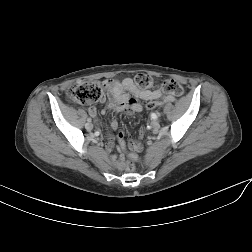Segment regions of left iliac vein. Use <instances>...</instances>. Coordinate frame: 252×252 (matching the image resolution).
<instances>
[{
    "label": "left iliac vein",
    "instance_id": "obj_1",
    "mask_svg": "<svg viewBox=\"0 0 252 252\" xmlns=\"http://www.w3.org/2000/svg\"><path fill=\"white\" fill-rule=\"evenodd\" d=\"M151 127H152V129H154V130H158V129L160 128V124H159V122H157V121H152V122H151Z\"/></svg>",
    "mask_w": 252,
    "mask_h": 252
}]
</instances>
